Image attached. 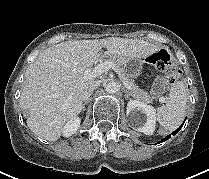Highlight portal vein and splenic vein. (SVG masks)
I'll list each match as a JSON object with an SVG mask.
<instances>
[{"instance_id":"portal-vein-and-splenic-vein-1","label":"portal vein and splenic vein","mask_w":209,"mask_h":179,"mask_svg":"<svg viewBox=\"0 0 209 179\" xmlns=\"http://www.w3.org/2000/svg\"><path fill=\"white\" fill-rule=\"evenodd\" d=\"M113 69L115 70L116 72L118 71V69L115 67V65L111 62V61H105L103 63H100L98 64L95 68L93 69H90V68H87L85 71H84V76L83 78L84 79H92V78H95V77H98L100 76L101 74L109 71L110 69ZM124 82V85L127 89H130V85L128 83H126L125 81ZM160 102L164 103L165 102V99L163 97L160 98Z\"/></svg>"}]
</instances>
